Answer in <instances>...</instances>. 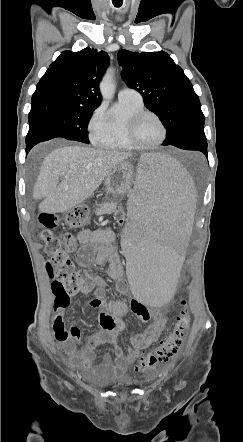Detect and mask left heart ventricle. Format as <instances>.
I'll return each instance as SVG.
<instances>
[{"mask_svg": "<svg viewBox=\"0 0 243 442\" xmlns=\"http://www.w3.org/2000/svg\"><path fill=\"white\" fill-rule=\"evenodd\" d=\"M162 136V128L153 116L143 117L136 127L137 140L145 145H152Z\"/></svg>", "mask_w": 243, "mask_h": 442, "instance_id": "left-heart-ventricle-1", "label": "left heart ventricle"}]
</instances>
